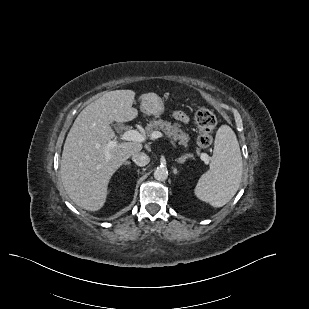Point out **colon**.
Here are the masks:
<instances>
[{
    "mask_svg": "<svg viewBox=\"0 0 309 309\" xmlns=\"http://www.w3.org/2000/svg\"><path fill=\"white\" fill-rule=\"evenodd\" d=\"M195 122L199 128L197 143L206 148L212 143V132L216 127L217 119L214 113L206 108H200L195 114Z\"/></svg>",
    "mask_w": 309,
    "mask_h": 309,
    "instance_id": "5ec220e1",
    "label": "colon"
}]
</instances>
